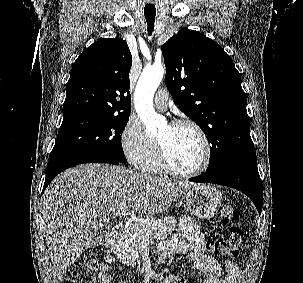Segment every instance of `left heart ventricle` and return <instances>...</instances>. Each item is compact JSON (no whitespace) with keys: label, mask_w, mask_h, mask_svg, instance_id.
I'll use <instances>...</instances> for the list:
<instances>
[{"label":"left heart ventricle","mask_w":303,"mask_h":283,"mask_svg":"<svg viewBox=\"0 0 303 283\" xmlns=\"http://www.w3.org/2000/svg\"><path fill=\"white\" fill-rule=\"evenodd\" d=\"M171 164L180 171L196 169L203 159L199 135L189 126H164L156 136Z\"/></svg>","instance_id":"1"}]
</instances>
